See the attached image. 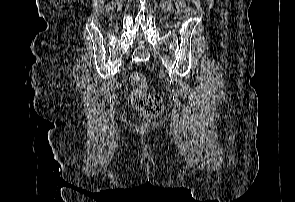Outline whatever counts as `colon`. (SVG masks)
I'll list each match as a JSON object with an SVG mask.
<instances>
[{
	"label": "colon",
	"mask_w": 295,
	"mask_h": 202,
	"mask_svg": "<svg viewBox=\"0 0 295 202\" xmlns=\"http://www.w3.org/2000/svg\"><path fill=\"white\" fill-rule=\"evenodd\" d=\"M129 82L133 87L131 95L133 106L147 116H157L162 112V99L157 94L148 93L146 77L138 71L130 73Z\"/></svg>",
	"instance_id": "obj_1"
}]
</instances>
